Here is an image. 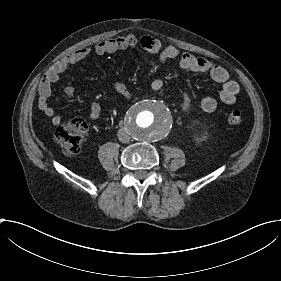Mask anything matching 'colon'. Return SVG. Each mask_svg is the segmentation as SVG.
<instances>
[{"instance_id": "5ec220e1", "label": "colon", "mask_w": 281, "mask_h": 281, "mask_svg": "<svg viewBox=\"0 0 281 281\" xmlns=\"http://www.w3.org/2000/svg\"><path fill=\"white\" fill-rule=\"evenodd\" d=\"M243 113L240 110H231L227 114L229 124L240 126L243 122ZM88 131L85 119L79 118L72 123L63 125L57 130V140L69 154H78L81 150L82 139Z\"/></svg>"}]
</instances>
